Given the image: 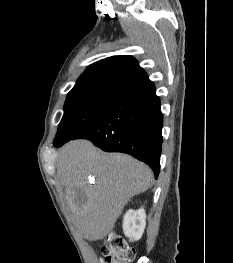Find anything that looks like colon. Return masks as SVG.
Wrapping results in <instances>:
<instances>
[{
	"label": "colon",
	"mask_w": 233,
	"mask_h": 263,
	"mask_svg": "<svg viewBox=\"0 0 233 263\" xmlns=\"http://www.w3.org/2000/svg\"><path fill=\"white\" fill-rule=\"evenodd\" d=\"M101 254L106 263H133L135 250L128 246L119 235L110 234L101 246Z\"/></svg>",
	"instance_id": "5ec220e1"
}]
</instances>
